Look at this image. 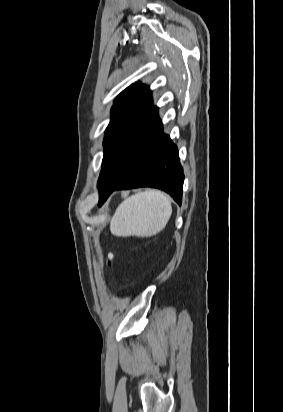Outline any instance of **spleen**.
I'll list each match as a JSON object with an SVG mask.
<instances>
[{
  "label": "spleen",
  "mask_w": 283,
  "mask_h": 412,
  "mask_svg": "<svg viewBox=\"0 0 283 412\" xmlns=\"http://www.w3.org/2000/svg\"><path fill=\"white\" fill-rule=\"evenodd\" d=\"M171 214L172 206L164 193L155 190L137 193L118 206L110 231L120 237H151L164 229Z\"/></svg>",
  "instance_id": "obj_1"
}]
</instances>
